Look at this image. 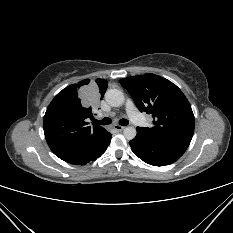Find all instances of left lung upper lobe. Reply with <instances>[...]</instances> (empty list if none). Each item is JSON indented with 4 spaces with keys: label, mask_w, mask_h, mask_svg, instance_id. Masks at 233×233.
<instances>
[{
    "label": "left lung upper lobe",
    "mask_w": 233,
    "mask_h": 233,
    "mask_svg": "<svg viewBox=\"0 0 233 233\" xmlns=\"http://www.w3.org/2000/svg\"><path fill=\"white\" fill-rule=\"evenodd\" d=\"M141 112L152 114V128L137 127L151 141L186 150L194 132V115L182 91L169 80L155 74L120 80Z\"/></svg>",
    "instance_id": "obj_1"
}]
</instances>
